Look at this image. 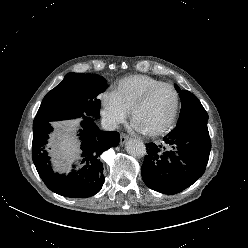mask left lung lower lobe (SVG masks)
<instances>
[{
  "instance_id": "obj_1",
  "label": "left lung lower lobe",
  "mask_w": 248,
  "mask_h": 248,
  "mask_svg": "<svg viewBox=\"0 0 248 248\" xmlns=\"http://www.w3.org/2000/svg\"><path fill=\"white\" fill-rule=\"evenodd\" d=\"M143 181L164 194H177L204 173L211 150L207 121L178 124L159 145H146Z\"/></svg>"
}]
</instances>
